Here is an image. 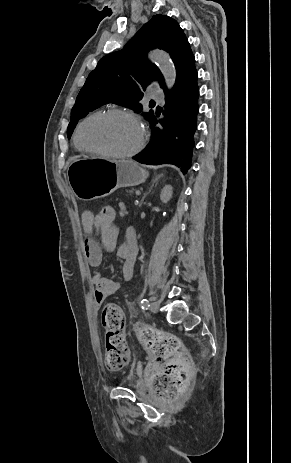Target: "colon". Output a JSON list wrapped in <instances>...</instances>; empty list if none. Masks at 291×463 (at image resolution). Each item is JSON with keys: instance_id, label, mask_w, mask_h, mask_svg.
<instances>
[{"instance_id": "1", "label": "colon", "mask_w": 291, "mask_h": 463, "mask_svg": "<svg viewBox=\"0 0 291 463\" xmlns=\"http://www.w3.org/2000/svg\"><path fill=\"white\" fill-rule=\"evenodd\" d=\"M118 221V208L102 204L96 210L98 230L105 231ZM102 325L105 329V364L110 370H120L128 363L129 355L125 339V317L122 310L107 305L102 312ZM140 338L153 356L148 367L157 395L171 396L176 390L183 389L191 378L192 369L179 338L174 335L143 328Z\"/></svg>"}]
</instances>
